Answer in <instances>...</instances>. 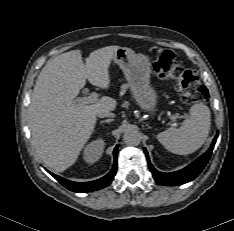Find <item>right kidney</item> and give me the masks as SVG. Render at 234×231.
Segmentation results:
<instances>
[{"label":"right kidney","instance_id":"1","mask_svg":"<svg viewBox=\"0 0 234 231\" xmlns=\"http://www.w3.org/2000/svg\"><path fill=\"white\" fill-rule=\"evenodd\" d=\"M105 147V142L103 139L99 138L90 142L84 149L83 158L88 164H93L98 161Z\"/></svg>","mask_w":234,"mask_h":231}]
</instances>
